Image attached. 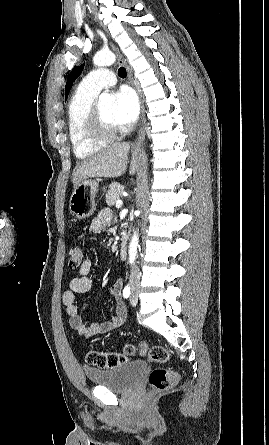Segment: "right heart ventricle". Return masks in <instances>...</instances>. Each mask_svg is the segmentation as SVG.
Segmentation results:
<instances>
[{
  "label": "right heart ventricle",
  "mask_w": 269,
  "mask_h": 445,
  "mask_svg": "<svg viewBox=\"0 0 269 445\" xmlns=\"http://www.w3.org/2000/svg\"><path fill=\"white\" fill-rule=\"evenodd\" d=\"M97 95L80 87L72 95L67 109V132L72 150L78 159H87L103 148L110 140H96L86 131V119Z\"/></svg>",
  "instance_id": "obj_1"
}]
</instances>
